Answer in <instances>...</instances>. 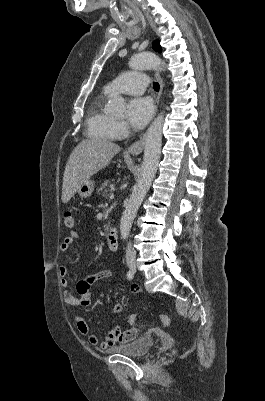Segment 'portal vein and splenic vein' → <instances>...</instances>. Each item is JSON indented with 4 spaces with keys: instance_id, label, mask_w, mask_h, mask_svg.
<instances>
[{
    "instance_id": "18ae733b",
    "label": "portal vein and splenic vein",
    "mask_w": 265,
    "mask_h": 401,
    "mask_svg": "<svg viewBox=\"0 0 265 401\" xmlns=\"http://www.w3.org/2000/svg\"><path fill=\"white\" fill-rule=\"evenodd\" d=\"M114 196H115V193H114V192H111V193L109 194V197H110V198H114Z\"/></svg>"
}]
</instances>
